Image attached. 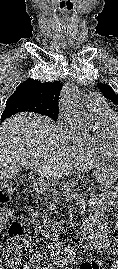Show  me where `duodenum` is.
<instances>
[{
    "instance_id": "410a0bca",
    "label": "duodenum",
    "mask_w": 118,
    "mask_h": 269,
    "mask_svg": "<svg viewBox=\"0 0 118 269\" xmlns=\"http://www.w3.org/2000/svg\"><path fill=\"white\" fill-rule=\"evenodd\" d=\"M35 218L37 221L42 222L46 226H48L50 229L54 231H59L60 230V224L52 219L47 218L44 214L42 213H36Z\"/></svg>"
}]
</instances>
